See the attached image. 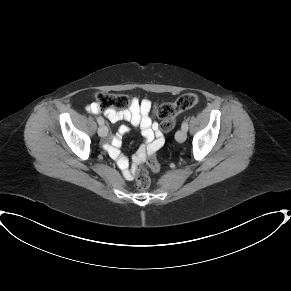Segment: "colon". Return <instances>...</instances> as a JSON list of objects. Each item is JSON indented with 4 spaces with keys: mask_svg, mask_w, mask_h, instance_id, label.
Here are the masks:
<instances>
[{
    "mask_svg": "<svg viewBox=\"0 0 291 291\" xmlns=\"http://www.w3.org/2000/svg\"><path fill=\"white\" fill-rule=\"evenodd\" d=\"M198 103V97L195 94H183L177 98L175 102H167L162 104L158 110V116L161 119V129L163 132H169L175 125L176 116ZM96 104L101 112L109 109L126 108L131 104L130 98L125 94H117L111 92H98L96 94ZM159 144L154 143L151 147L150 156L159 149ZM150 166L155 170H159V166L153 159L149 160ZM134 166L136 172V187L140 190H146L151 184V179L144 165V157L137 155L134 158Z\"/></svg>",
    "mask_w": 291,
    "mask_h": 291,
    "instance_id": "obj_1",
    "label": "colon"
}]
</instances>
